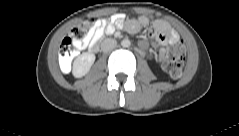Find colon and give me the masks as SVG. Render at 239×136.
<instances>
[{
  "label": "colon",
  "mask_w": 239,
  "mask_h": 136,
  "mask_svg": "<svg viewBox=\"0 0 239 136\" xmlns=\"http://www.w3.org/2000/svg\"><path fill=\"white\" fill-rule=\"evenodd\" d=\"M96 25L94 19L75 26L69 36L65 37L59 47V65L63 70H69L75 55L76 45L84 40ZM186 50L182 43H173L169 47L168 58L164 63L165 71L172 77H180L183 71Z\"/></svg>",
  "instance_id": "5ec220e1"
}]
</instances>
